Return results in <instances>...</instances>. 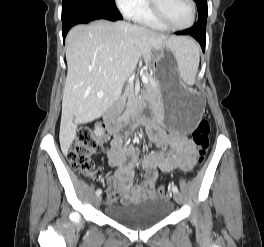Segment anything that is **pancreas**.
<instances>
[{
	"label": "pancreas",
	"mask_w": 264,
	"mask_h": 247,
	"mask_svg": "<svg viewBox=\"0 0 264 247\" xmlns=\"http://www.w3.org/2000/svg\"><path fill=\"white\" fill-rule=\"evenodd\" d=\"M143 75L148 78V83H146L144 86L146 93L148 95V99L150 102H155L157 99H160L161 97L159 83L154 77H152L148 73H144ZM135 102H136V97L132 87H130L125 90L124 94L119 100V105H120L119 113L122 114L121 115L122 119L126 118L130 114V112L134 108Z\"/></svg>",
	"instance_id": "obj_1"
}]
</instances>
